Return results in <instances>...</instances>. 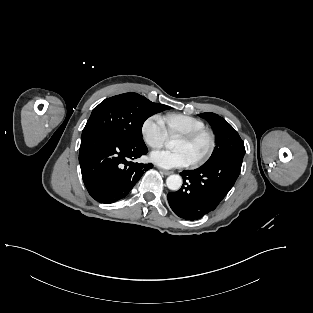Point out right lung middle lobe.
Segmentation results:
<instances>
[{
  "label": "right lung middle lobe",
  "mask_w": 313,
  "mask_h": 313,
  "mask_svg": "<svg viewBox=\"0 0 313 313\" xmlns=\"http://www.w3.org/2000/svg\"><path fill=\"white\" fill-rule=\"evenodd\" d=\"M169 106L156 104L137 93H124L105 99L96 106L82 132V138L95 132H108L130 142H144L142 126L151 115Z\"/></svg>",
  "instance_id": "obj_1"
}]
</instances>
